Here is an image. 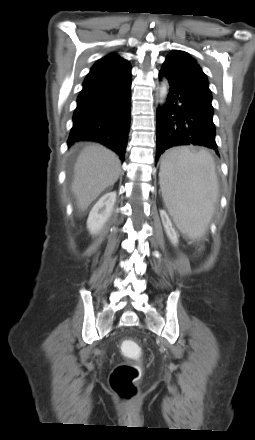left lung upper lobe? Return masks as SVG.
<instances>
[{"mask_svg":"<svg viewBox=\"0 0 255 440\" xmlns=\"http://www.w3.org/2000/svg\"><path fill=\"white\" fill-rule=\"evenodd\" d=\"M177 80L212 99L209 82L197 61L184 51L171 52L163 66Z\"/></svg>","mask_w":255,"mask_h":440,"instance_id":"obj_1","label":"left lung upper lobe"}]
</instances>
